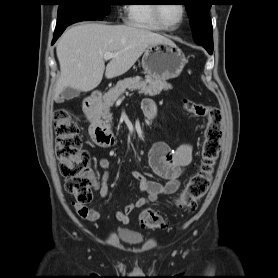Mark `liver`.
Returning a JSON list of instances; mask_svg holds the SVG:
<instances>
[{
	"label": "liver",
	"mask_w": 278,
	"mask_h": 278,
	"mask_svg": "<svg viewBox=\"0 0 278 278\" xmlns=\"http://www.w3.org/2000/svg\"><path fill=\"white\" fill-rule=\"evenodd\" d=\"M169 41L166 37L137 26L80 24L66 30L58 41L56 53L61 75L54 100L65 88L88 92L106 78L126 73L151 44ZM118 54L106 66L104 54Z\"/></svg>",
	"instance_id": "liver-1"
}]
</instances>
